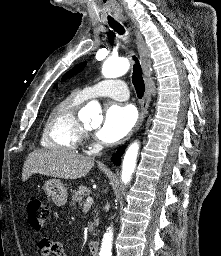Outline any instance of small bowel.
Returning <instances> with one entry per match:
<instances>
[{
	"label": "small bowel",
	"instance_id": "c3829d8e",
	"mask_svg": "<svg viewBox=\"0 0 221 256\" xmlns=\"http://www.w3.org/2000/svg\"><path fill=\"white\" fill-rule=\"evenodd\" d=\"M38 247L41 256H67L64 246L56 240L43 237L39 240Z\"/></svg>",
	"mask_w": 221,
	"mask_h": 256
}]
</instances>
